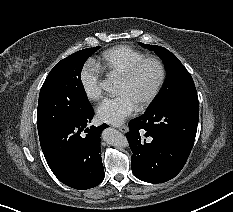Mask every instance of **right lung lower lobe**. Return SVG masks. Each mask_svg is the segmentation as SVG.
<instances>
[{
	"label": "right lung lower lobe",
	"instance_id": "obj_1",
	"mask_svg": "<svg viewBox=\"0 0 233 212\" xmlns=\"http://www.w3.org/2000/svg\"><path fill=\"white\" fill-rule=\"evenodd\" d=\"M94 116L93 109L74 121L65 122L40 135V144L54 175L75 189H89L104 179L100 155V133L108 125H87Z\"/></svg>",
	"mask_w": 233,
	"mask_h": 212
}]
</instances>
